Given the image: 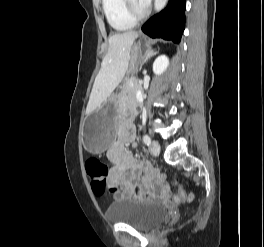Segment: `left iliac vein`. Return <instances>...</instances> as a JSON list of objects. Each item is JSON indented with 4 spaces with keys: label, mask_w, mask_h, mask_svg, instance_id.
I'll use <instances>...</instances> for the list:
<instances>
[{
    "label": "left iliac vein",
    "mask_w": 264,
    "mask_h": 247,
    "mask_svg": "<svg viewBox=\"0 0 264 247\" xmlns=\"http://www.w3.org/2000/svg\"><path fill=\"white\" fill-rule=\"evenodd\" d=\"M149 151L152 155L158 156L160 153V145L157 141L153 140L149 146Z\"/></svg>",
    "instance_id": "left-iliac-vein-1"
}]
</instances>
